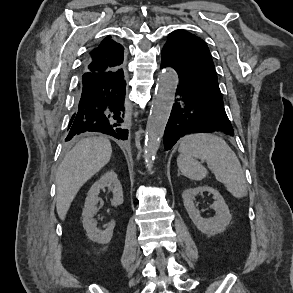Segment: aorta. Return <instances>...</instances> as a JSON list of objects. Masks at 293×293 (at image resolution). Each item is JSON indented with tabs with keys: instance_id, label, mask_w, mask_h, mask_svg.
Instances as JSON below:
<instances>
[{
	"instance_id": "obj_1",
	"label": "aorta",
	"mask_w": 293,
	"mask_h": 293,
	"mask_svg": "<svg viewBox=\"0 0 293 293\" xmlns=\"http://www.w3.org/2000/svg\"><path fill=\"white\" fill-rule=\"evenodd\" d=\"M177 85L178 75L173 69L167 68L159 76L146 126L144 157L148 168L152 167L154 156L160 146L174 103Z\"/></svg>"
}]
</instances>
